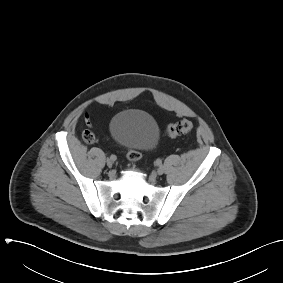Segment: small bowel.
<instances>
[{
	"mask_svg": "<svg viewBox=\"0 0 283 283\" xmlns=\"http://www.w3.org/2000/svg\"><path fill=\"white\" fill-rule=\"evenodd\" d=\"M86 119H87V121H89V116H88V114H86Z\"/></svg>",
	"mask_w": 283,
	"mask_h": 283,
	"instance_id": "small-bowel-1",
	"label": "small bowel"
}]
</instances>
